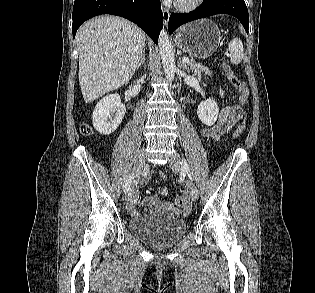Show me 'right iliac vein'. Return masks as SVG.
Instances as JSON below:
<instances>
[{
	"label": "right iliac vein",
	"mask_w": 315,
	"mask_h": 293,
	"mask_svg": "<svg viewBox=\"0 0 315 293\" xmlns=\"http://www.w3.org/2000/svg\"><path fill=\"white\" fill-rule=\"evenodd\" d=\"M144 163H145V159H144V151L141 150L138 155L137 158L135 160V164H134V172H135V179L132 182V185L129 189V191L126 194V201L130 202L133 199V195H134V190L136 188L137 185V178L139 177L140 173L142 172V169L144 167Z\"/></svg>",
	"instance_id": "obj_1"
}]
</instances>
